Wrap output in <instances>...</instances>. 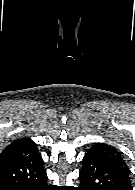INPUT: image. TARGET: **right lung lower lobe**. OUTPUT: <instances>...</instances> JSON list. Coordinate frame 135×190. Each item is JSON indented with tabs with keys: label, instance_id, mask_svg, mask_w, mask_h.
Listing matches in <instances>:
<instances>
[{
	"label": "right lung lower lobe",
	"instance_id": "right-lung-lower-lobe-1",
	"mask_svg": "<svg viewBox=\"0 0 135 190\" xmlns=\"http://www.w3.org/2000/svg\"><path fill=\"white\" fill-rule=\"evenodd\" d=\"M0 190H51L40 154L0 161Z\"/></svg>",
	"mask_w": 135,
	"mask_h": 190
}]
</instances>
